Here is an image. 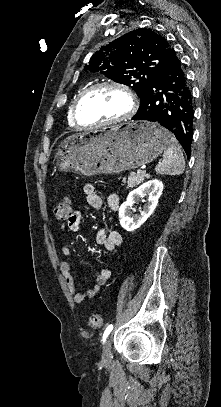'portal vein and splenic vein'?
<instances>
[{
  "instance_id": "18ae733b",
  "label": "portal vein and splenic vein",
  "mask_w": 221,
  "mask_h": 407,
  "mask_svg": "<svg viewBox=\"0 0 221 407\" xmlns=\"http://www.w3.org/2000/svg\"><path fill=\"white\" fill-rule=\"evenodd\" d=\"M138 174H145V171L143 170V167L137 170Z\"/></svg>"
}]
</instances>
